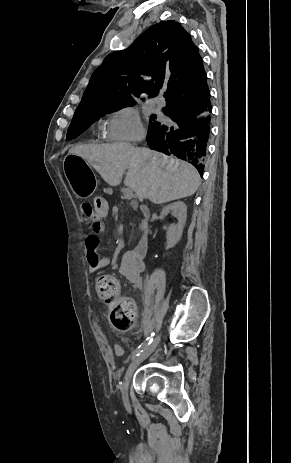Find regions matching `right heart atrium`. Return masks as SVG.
I'll use <instances>...</instances> for the list:
<instances>
[{"instance_id": "d8ad5b80", "label": "right heart atrium", "mask_w": 291, "mask_h": 463, "mask_svg": "<svg viewBox=\"0 0 291 463\" xmlns=\"http://www.w3.org/2000/svg\"><path fill=\"white\" fill-rule=\"evenodd\" d=\"M143 134L144 129L138 111L129 106L112 112L103 128V136L111 141H138Z\"/></svg>"}]
</instances>
